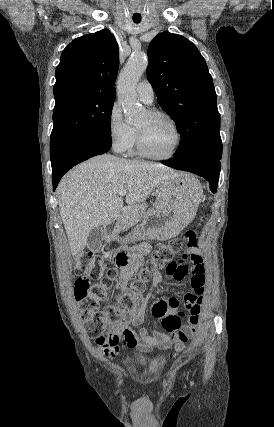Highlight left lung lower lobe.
Segmentation results:
<instances>
[{
	"instance_id": "obj_1",
	"label": "left lung lower lobe",
	"mask_w": 274,
	"mask_h": 427,
	"mask_svg": "<svg viewBox=\"0 0 274 427\" xmlns=\"http://www.w3.org/2000/svg\"><path fill=\"white\" fill-rule=\"evenodd\" d=\"M222 157V143H211L201 149L184 156L162 162L175 169L192 172L204 177L210 183L213 193L217 191L219 173L221 169L220 159Z\"/></svg>"
}]
</instances>
